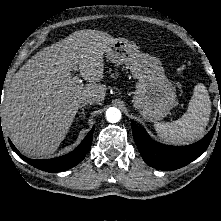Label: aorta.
I'll use <instances>...</instances> for the list:
<instances>
[{
    "label": "aorta",
    "instance_id": "aorta-1",
    "mask_svg": "<svg viewBox=\"0 0 221 221\" xmlns=\"http://www.w3.org/2000/svg\"><path fill=\"white\" fill-rule=\"evenodd\" d=\"M106 119L110 123H116L121 119V111L118 108L111 107L106 110Z\"/></svg>",
    "mask_w": 221,
    "mask_h": 221
}]
</instances>
